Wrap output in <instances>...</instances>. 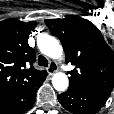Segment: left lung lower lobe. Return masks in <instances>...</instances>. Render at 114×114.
I'll return each instance as SVG.
<instances>
[{
    "label": "left lung lower lobe",
    "instance_id": "left-lung-lower-lobe-1",
    "mask_svg": "<svg viewBox=\"0 0 114 114\" xmlns=\"http://www.w3.org/2000/svg\"><path fill=\"white\" fill-rule=\"evenodd\" d=\"M108 98L107 94L71 86L66 92L58 95L60 104L73 114H95Z\"/></svg>",
    "mask_w": 114,
    "mask_h": 114
}]
</instances>
